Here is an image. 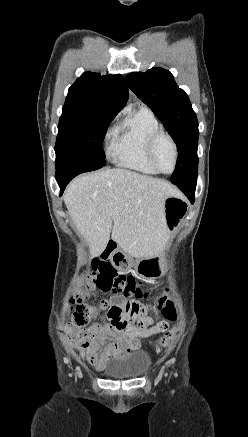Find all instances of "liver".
<instances>
[{
    "label": "liver",
    "mask_w": 248,
    "mask_h": 437,
    "mask_svg": "<svg viewBox=\"0 0 248 437\" xmlns=\"http://www.w3.org/2000/svg\"><path fill=\"white\" fill-rule=\"evenodd\" d=\"M164 180L114 168L75 178L63 200L91 256L112 240L131 257L150 258L164 248L168 233L165 200L178 196Z\"/></svg>",
    "instance_id": "6515ba94"
}]
</instances>
